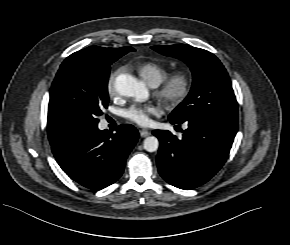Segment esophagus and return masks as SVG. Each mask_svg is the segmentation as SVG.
<instances>
[{
    "label": "esophagus",
    "mask_w": 290,
    "mask_h": 245,
    "mask_svg": "<svg viewBox=\"0 0 290 245\" xmlns=\"http://www.w3.org/2000/svg\"><path fill=\"white\" fill-rule=\"evenodd\" d=\"M150 134H151V132L148 131V130H145V129L140 130V135H141V137H147V136H149Z\"/></svg>",
    "instance_id": "obj_1"
}]
</instances>
